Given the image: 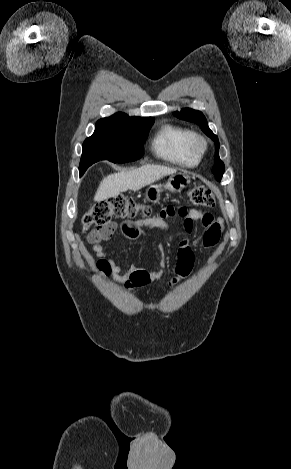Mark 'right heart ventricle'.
Returning a JSON list of instances; mask_svg holds the SVG:
<instances>
[{
  "label": "right heart ventricle",
  "mask_w": 291,
  "mask_h": 469,
  "mask_svg": "<svg viewBox=\"0 0 291 469\" xmlns=\"http://www.w3.org/2000/svg\"><path fill=\"white\" fill-rule=\"evenodd\" d=\"M195 133L180 125L163 124L151 141V151L159 159L173 165L192 168L200 158L191 150Z\"/></svg>",
  "instance_id": "obj_1"
}]
</instances>
